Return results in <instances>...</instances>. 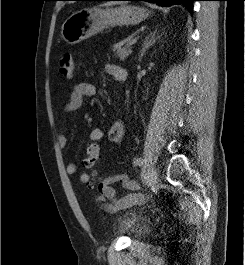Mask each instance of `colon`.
<instances>
[{"label": "colon", "mask_w": 245, "mask_h": 265, "mask_svg": "<svg viewBox=\"0 0 245 265\" xmlns=\"http://www.w3.org/2000/svg\"><path fill=\"white\" fill-rule=\"evenodd\" d=\"M59 71L64 78H72L75 73V62L68 53L62 54L59 58ZM99 158V145L97 143H89L85 150L82 164L86 168H93Z\"/></svg>", "instance_id": "obj_1"}]
</instances>
